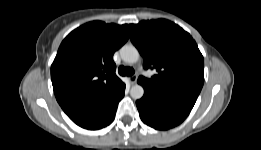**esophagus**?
Here are the masks:
<instances>
[{
	"instance_id": "34e87169",
	"label": "esophagus",
	"mask_w": 261,
	"mask_h": 150,
	"mask_svg": "<svg viewBox=\"0 0 261 150\" xmlns=\"http://www.w3.org/2000/svg\"><path fill=\"white\" fill-rule=\"evenodd\" d=\"M129 81H130V83H131L132 85L135 84L136 81H137V76H136V75L131 76V77L129 78Z\"/></svg>"
}]
</instances>
